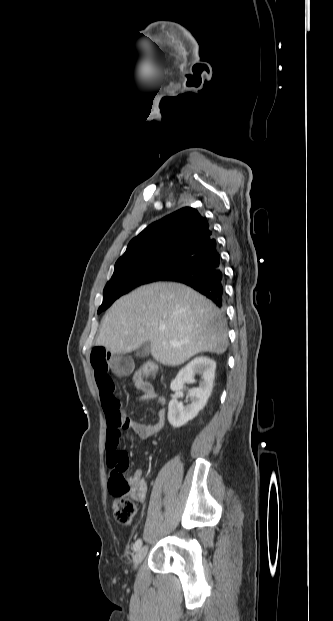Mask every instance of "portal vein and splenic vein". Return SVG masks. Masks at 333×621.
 <instances>
[{"mask_svg":"<svg viewBox=\"0 0 333 621\" xmlns=\"http://www.w3.org/2000/svg\"><path fill=\"white\" fill-rule=\"evenodd\" d=\"M160 330H161V331H163V330H164V327H160Z\"/></svg>","mask_w":333,"mask_h":621,"instance_id":"portal-vein-and-splenic-vein-1","label":"portal vein and splenic vein"}]
</instances>
